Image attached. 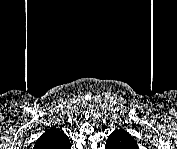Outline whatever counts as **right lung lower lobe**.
I'll return each mask as SVG.
<instances>
[{"mask_svg":"<svg viewBox=\"0 0 177 149\" xmlns=\"http://www.w3.org/2000/svg\"><path fill=\"white\" fill-rule=\"evenodd\" d=\"M53 136H46V137H40L38 141L36 142V146H44V143H49V141L52 139ZM71 147L70 144L64 145L65 149H69Z\"/></svg>","mask_w":177,"mask_h":149,"instance_id":"1","label":"right lung lower lobe"}]
</instances>
